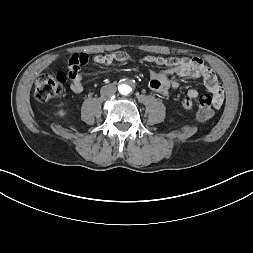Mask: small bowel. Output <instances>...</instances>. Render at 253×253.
<instances>
[{"mask_svg": "<svg viewBox=\"0 0 253 253\" xmlns=\"http://www.w3.org/2000/svg\"><path fill=\"white\" fill-rule=\"evenodd\" d=\"M84 61V65L88 62V56L85 54H72L70 61L77 63ZM130 59L129 55L122 51H117L108 55H99L94 58V61L102 66H109L113 62H125ZM140 62L147 64H156L164 67V69L156 72L150 71V89L160 95H169L172 89L178 87V82L175 77H201L206 88L212 93L213 105L220 108L224 102V93L221 83L214 76L211 69L199 58L177 59L164 58L160 56L147 55L140 59ZM74 92V91H73ZM198 92L195 89L187 91L186 98L182 100L181 107L188 114H193L197 110L196 99Z\"/></svg>", "mask_w": 253, "mask_h": 253, "instance_id": "obj_1", "label": "small bowel"}]
</instances>
